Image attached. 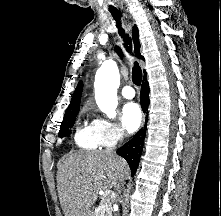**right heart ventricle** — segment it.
<instances>
[{"mask_svg":"<svg viewBox=\"0 0 221 216\" xmlns=\"http://www.w3.org/2000/svg\"><path fill=\"white\" fill-rule=\"evenodd\" d=\"M75 144L82 149H97L100 144L94 136L91 125H83L77 128L74 134Z\"/></svg>","mask_w":221,"mask_h":216,"instance_id":"right-heart-ventricle-1","label":"right heart ventricle"}]
</instances>
